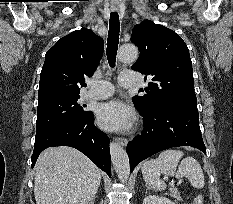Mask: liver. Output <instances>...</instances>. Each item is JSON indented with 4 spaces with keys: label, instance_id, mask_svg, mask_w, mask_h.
I'll return each instance as SVG.
<instances>
[{
    "label": "liver",
    "instance_id": "liver-1",
    "mask_svg": "<svg viewBox=\"0 0 233 204\" xmlns=\"http://www.w3.org/2000/svg\"><path fill=\"white\" fill-rule=\"evenodd\" d=\"M101 182V171L78 150L50 147L35 165L36 204H90Z\"/></svg>",
    "mask_w": 233,
    "mask_h": 204
}]
</instances>
